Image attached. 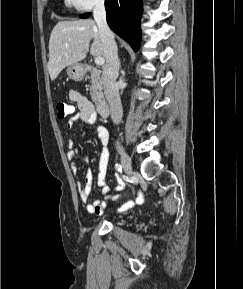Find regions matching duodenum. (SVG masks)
Returning a JSON list of instances; mask_svg holds the SVG:
<instances>
[{"mask_svg": "<svg viewBox=\"0 0 243 289\" xmlns=\"http://www.w3.org/2000/svg\"><path fill=\"white\" fill-rule=\"evenodd\" d=\"M96 108L97 112L100 117L106 118L109 115V107L108 104L105 100L103 99H98L96 102Z\"/></svg>", "mask_w": 243, "mask_h": 289, "instance_id": "obj_1", "label": "duodenum"}]
</instances>
